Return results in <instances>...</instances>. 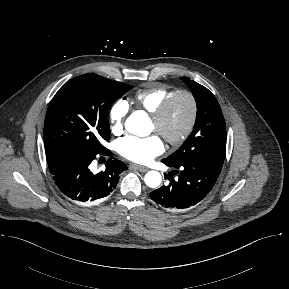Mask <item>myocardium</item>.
<instances>
[{
    "instance_id": "1",
    "label": "myocardium",
    "mask_w": 289,
    "mask_h": 289,
    "mask_svg": "<svg viewBox=\"0 0 289 289\" xmlns=\"http://www.w3.org/2000/svg\"><path fill=\"white\" fill-rule=\"evenodd\" d=\"M180 97H187L191 104V114L187 125L180 134L175 137L165 135L161 130V125L168 116L170 110L175 104L176 100ZM199 115V104L196 96L193 92L186 89L177 90L171 96H169L159 108L151 114V119L156 125L157 131L162 135L166 143L171 146H178L184 143L193 133Z\"/></svg>"
}]
</instances>
